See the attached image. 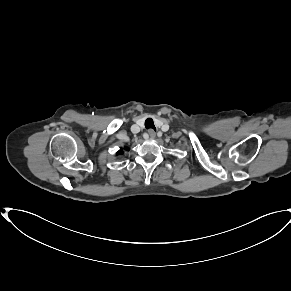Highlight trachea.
Returning <instances> with one entry per match:
<instances>
[{"mask_svg": "<svg viewBox=\"0 0 291 291\" xmlns=\"http://www.w3.org/2000/svg\"><path fill=\"white\" fill-rule=\"evenodd\" d=\"M145 127H146V129L151 128L153 130H156L155 125H154V122H153V120L151 118L146 119V121H145Z\"/></svg>", "mask_w": 291, "mask_h": 291, "instance_id": "3493384b", "label": "trachea"}]
</instances>
